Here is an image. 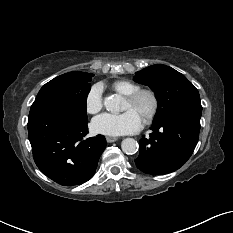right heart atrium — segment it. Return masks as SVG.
Instances as JSON below:
<instances>
[{"instance_id":"d8ad5b80","label":"right heart atrium","mask_w":233,"mask_h":233,"mask_svg":"<svg viewBox=\"0 0 233 233\" xmlns=\"http://www.w3.org/2000/svg\"><path fill=\"white\" fill-rule=\"evenodd\" d=\"M85 106L88 113L94 114L103 107L102 87L100 84L93 85L87 93Z\"/></svg>"}]
</instances>
